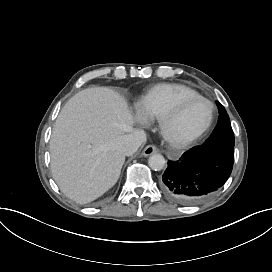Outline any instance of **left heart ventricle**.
<instances>
[{"mask_svg": "<svg viewBox=\"0 0 272 272\" xmlns=\"http://www.w3.org/2000/svg\"><path fill=\"white\" fill-rule=\"evenodd\" d=\"M209 106L201 100L190 102L173 122L175 129L192 132L204 126L209 118Z\"/></svg>", "mask_w": 272, "mask_h": 272, "instance_id": "obj_1", "label": "left heart ventricle"}]
</instances>
